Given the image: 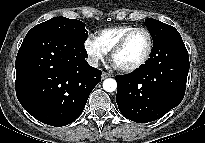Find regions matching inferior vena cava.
I'll return each instance as SVG.
<instances>
[{
	"label": "inferior vena cava",
	"instance_id": "1",
	"mask_svg": "<svg viewBox=\"0 0 205 143\" xmlns=\"http://www.w3.org/2000/svg\"><path fill=\"white\" fill-rule=\"evenodd\" d=\"M87 62L90 66L97 68L98 67V59L94 56H90L87 58Z\"/></svg>",
	"mask_w": 205,
	"mask_h": 143
}]
</instances>
